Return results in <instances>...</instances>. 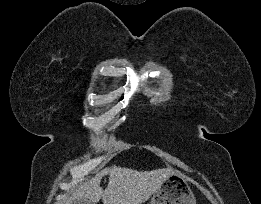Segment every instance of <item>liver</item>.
Masks as SVG:
<instances>
[{"mask_svg": "<svg viewBox=\"0 0 261 204\" xmlns=\"http://www.w3.org/2000/svg\"><path fill=\"white\" fill-rule=\"evenodd\" d=\"M172 173L171 168L152 171H137L117 166L105 168L78 187L64 204H73L74 200L79 198H87L94 203L102 199L103 204H142ZM105 175H109V182L103 190L100 182Z\"/></svg>", "mask_w": 261, "mask_h": 204, "instance_id": "obj_1", "label": "liver"}]
</instances>
